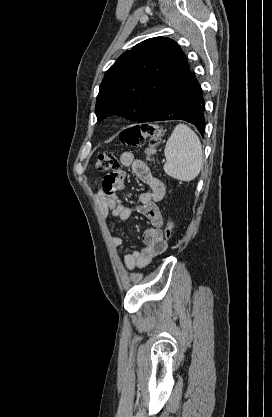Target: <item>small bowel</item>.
<instances>
[{"label": "small bowel", "instance_id": "c3829d8e", "mask_svg": "<svg viewBox=\"0 0 272 417\" xmlns=\"http://www.w3.org/2000/svg\"><path fill=\"white\" fill-rule=\"evenodd\" d=\"M121 164L130 167L133 174L146 186L147 189L138 195L139 206L137 211L143 214L150 223V227L144 231V247L140 250H132L124 256V264L127 269L143 268L166 248V241L163 238V217L157 205L165 196V186L162 181L154 177L148 166L140 159H137L130 152H123L119 156ZM126 174L118 172L106 175L95 194L103 217L112 215L122 221L129 219L134 209L122 202L121 195L125 189ZM112 243L115 247L121 248L126 241L122 237H113Z\"/></svg>", "mask_w": 272, "mask_h": 417}]
</instances>
